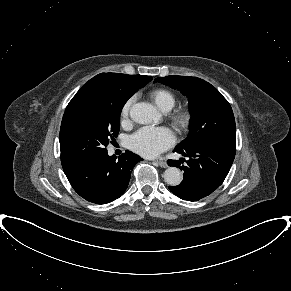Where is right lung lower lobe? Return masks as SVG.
I'll list each match as a JSON object with an SVG mask.
<instances>
[{
  "mask_svg": "<svg viewBox=\"0 0 291 291\" xmlns=\"http://www.w3.org/2000/svg\"><path fill=\"white\" fill-rule=\"evenodd\" d=\"M140 156L126 151L119 159L107 152L65 173L73 189L85 200L103 204L119 198L126 190Z\"/></svg>",
  "mask_w": 291,
  "mask_h": 291,
  "instance_id": "obj_1",
  "label": "right lung lower lobe"
}]
</instances>
